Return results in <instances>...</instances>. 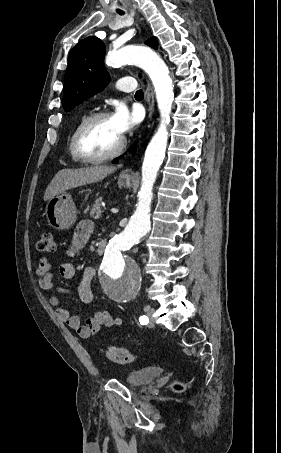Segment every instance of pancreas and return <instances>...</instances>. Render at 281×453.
Returning a JSON list of instances; mask_svg holds the SVG:
<instances>
[{"mask_svg":"<svg viewBox=\"0 0 281 453\" xmlns=\"http://www.w3.org/2000/svg\"><path fill=\"white\" fill-rule=\"evenodd\" d=\"M86 210H90L89 214L92 218H101L103 216V204H102V196L96 198L95 204H92L91 208H86Z\"/></svg>","mask_w":281,"mask_h":453,"instance_id":"cf45deb5","label":"pancreas"}]
</instances>
